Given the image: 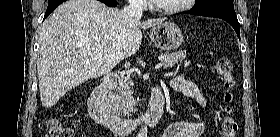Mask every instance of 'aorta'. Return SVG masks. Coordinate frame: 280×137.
<instances>
[{"label":"aorta","mask_w":280,"mask_h":137,"mask_svg":"<svg viewBox=\"0 0 280 137\" xmlns=\"http://www.w3.org/2000/svg\"><path fill=\"white\" fill-rule=\"evenodd\" d=\"M146 136V128H141L138 132V137H145Z\"/></svg>","instance_id":"762f6f07"}]
</instances>
